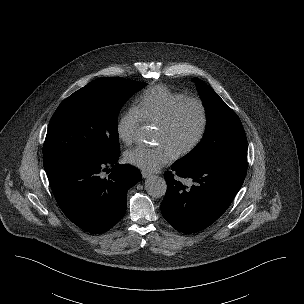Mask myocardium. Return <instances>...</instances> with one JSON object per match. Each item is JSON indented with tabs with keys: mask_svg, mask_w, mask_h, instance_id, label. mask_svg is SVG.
Wrapping results in <instances>:
<instances>
[{
	"mask_svg": "<svg viewBox=\"0 0 304 304\" xmlns=\"http://www.w3.org/2000/svg\"><path fill=\"white\" fill-rule=\"evenodd\" d=\"M189 103H193L198 107L199 112H200V123H199L198 130H197L195 136L193 137V139L190 142H188L186 145L177 149L175 151L176 156H181V155L191 152L203 140L207 127H208V110H207L206 104L199 97H195V96L184 97L181 100L177 101L174 105H172L171 108L166 113V115L157 124V126L163 130L169 129L171 127L172 123L174 122L180 109L184 105L189 104Z\"/></svg>",
	"mask_w": 304,
	"mask_h": 304,
	"instance_id": "obj_1",
	"label": "myocardium"
}]
</instances>
